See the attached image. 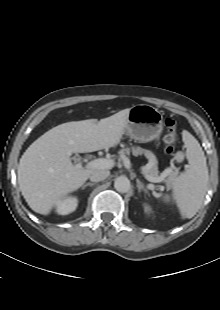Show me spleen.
Wrapping results in <instances>:
<instances>
[{"mask_svg":"<svg viewBox=\"0 0 220 310\" xmlns=\"http://www.w3.org/2000/svg\"><path fill=\"white\" fill-rule=\"evenodd\" d=\"M182 136L189 167L174 180L173 198L181 216L192 218L203 202L209 175L206 157L198 141L188 131H183Z\"/></svg>","mask_w":220,"mask_h":310,"instance_id":"1","label":"spleen"}]
</instances>
